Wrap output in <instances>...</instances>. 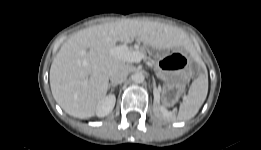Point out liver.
I'll list each match as a JSON object with an SVG mask.
<instances>
[{
    "label": "liver",
    "mask_w": 261,
    "mask_h": 150,
    "mask_svg": "<svg viewBox=\"0 0 261 150\" xmlns=\"http://www.w3.org/2000/svg\"><path fill=\"white\" fill-rule=\"evenodd\" d=\"M134 39L153 49L191 45L181 29L164 23L123 19L95 25L73 34L60 48L50 68L54 99L71 116L89 118L106 97L109 71L126 61L110 55L116 42Z\"/></svg>",
    "instance_id": "liver-1"
}]
</instances>
